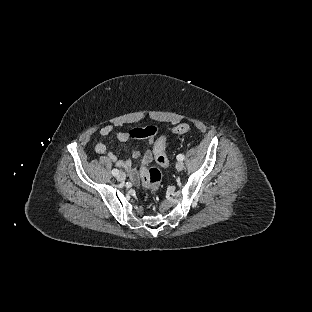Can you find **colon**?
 Wrapping results in <instances>:
<instances>
[{
  "label": "colon",
  "instance_id": "1",
  "mask_svg": "<svg viewBox=\"0 0 312 312\" xmlns=\"http://www.w3.org/2000/svg\"><path fill=\"white\" fill-rule=\"evenodd\" d=\"M190 130V127L186 123H182L180 125L174 124L171 126L170 131L172 134H186ZM157 132V128L154 126H147L141 131H139L137 134L141 137H149L153 136ZM170 137L169 132L164 131L162 132L159 137L156 138L155 144H154V150L156 154V158L158 160V163L162 166H166L168 161L166 156L164 155L163 151V144L166 142ZM162 173L159 168L156 167H142L141 168V175H140V181L141 185L146 188L148 191L152 193H156L162 183Z\"/></svg>",
  "mask_w": 312,
  "mask_h": 312
}]
</instances>
